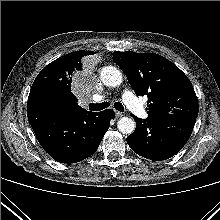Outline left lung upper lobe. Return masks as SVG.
Returning a JSON list of instances; mask_svg holds the SVG:
<instances>
[{
    "label": "left lung upper lobe",
    "instance_id": "1",
    "mask_svg": "<svg viewBox=\"0 0 220 220\" xmlns=\"http://www.w3.org/2000/svg\"><path fill=\"white\" fill-rule=\"evenodd\" d=\"M113 59L137 96L148 97V119L186 116L197 118L198 101L187 76L155 53L114 52Z\"/></svg>",
    "mask_w": 220,
    "mask_h": 220
}]
</instances>
